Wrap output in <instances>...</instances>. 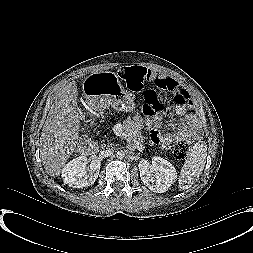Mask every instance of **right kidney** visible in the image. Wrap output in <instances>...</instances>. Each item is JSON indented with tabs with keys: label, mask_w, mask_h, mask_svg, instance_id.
I'll list each match as a JSON object with an SVG mask.
<instances>
[{
	"label": "right kidney",
	"mask_w": 253,
	"mask_h": 253,
	"mask_svg": "<svg viewBox=\"0 0 253 253\" xmlns=\"http://www.w3.org/2000/svg\"><path fill=\"white\" fill-rule=\"evenodd\" d=\"M100 160L88 165L86 156H79L68 162L62 169V178L70 187L83 188L94 184L100 171Z\"/></svg>",
	"instance_id": "right-kidney-1"
}]
</instances>
